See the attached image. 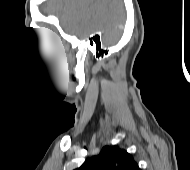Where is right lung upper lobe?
I'll use <instances>...</instances> for the list:
<instances>
[{"mask_svg":"<svg viewBox=\"0 0 190 170\" xmlns=\"http://www.w3.org/2000/svg\"><path fill=\"white\" fill-rule=\"evenodd\" d=\"M75 170H140L132 155L116 145L104 146L99 155L87 159Z\"/></svg>","mask_w":190,"mask_h":170,"instance_id":"right-lung-upper-lobe-1","label":"right lung upper lobe"}]
</instances>
